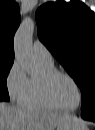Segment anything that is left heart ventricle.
Masks as SVG:
<instances>
[{"instance_id": "b2bd125f", "label": "left heart ventricle", "mask_w": 95, "mask_h": 130, "mask_svg": "<svg viewBox=\"0 0 95 130\" xmlns=\"http://www.w3.org/2000/svg\"><path fill=\"white\" fill-rule=\"evenodd\" d=\"M54 99L63 107L74 108L79 102L76 86L67 78L59 77L52 85Z\"/></svg>"}]
</instances>
